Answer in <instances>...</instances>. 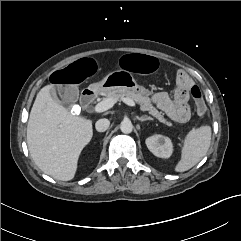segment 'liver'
Wrapping results in <instances>:
<instances>
[{"instance_id": "1", "label": "liver", "mask_w": 241, "mask_h": 241, "mask_svg": "<svg viewBox=\"0 0 241 241\" xmlns=\"http://www.w3.org/2000/svg\"><path fill=\"white\" fill-rule=\"evenodd\" d=\"M50 87L44 86L38 92L31 109L28 149L42 172L69 181L76 174L81 151L92 138V120L72 115L52 98Z\"/></svg>"}]
</instances>
